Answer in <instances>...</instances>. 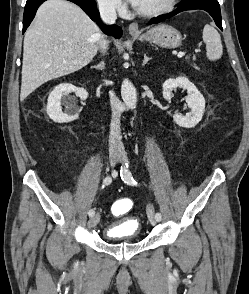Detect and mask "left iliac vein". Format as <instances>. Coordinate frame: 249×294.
<instances>
[{
  "label": "left iliac vein",
  "instance_id": "left-iliac-vein-1",
  "mask_svg": "<svg viewBox=\"0 0 249 294\" xmlns=\"http://www.w3.org/2000/svg\"><path fill=\"white\" fill-rule=\"evenodd\" d=\"M118 161L122 162V163H127L128 162V158L125 154V152H123L122 150L119 152V158ZM147 216L148 219L151 223L152 226L156 225V219L154 217V208L152 205H148L147 207Z\"/></svg>",
  "mask_w": 249,
  "mask_h": 294
}]
</instances>
